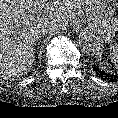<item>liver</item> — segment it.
I'll return each mask as SVG.
<instances>
[{
	"mask_svg": "<svg viewBox=\"0 0 118 118\" xmlns=\"http://www.w3.org/2000/svg\"><path fill=\"white\" fill-rule=\"evenodd\" d=\"M99 9V0H0V74L19 77L30 71L36 43L43 36L41 21L66 26L82 17L92 29Z\"/></svg>",
	"mask_w": 118,
	"mask_h": 118,
	"instance_id": "liver-1",
	"label": "liver"
}]
</instances>
